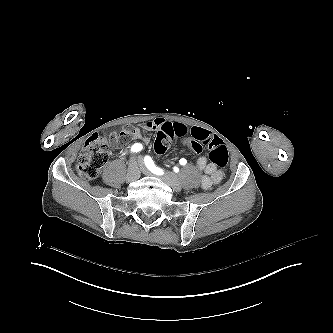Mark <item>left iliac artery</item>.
<instances>
[{"instance_id": "left-iliac-artery-1", "label": "left iliac artery", "mask_w": 333, "mask_h": 333, "mask_svg": "<svg viewBox=\"0 0 333 333\" xmlns=\"http://www.w3.org/2000/svg\"><path fill=\"white\" fill-rule=\"evenodd\" d=\"M144 162H145L146 166L148 167V169L151 172H153L154 174L161 175L163 173L160 168L155 166V164L150 156H145ZM179 162L181 165H185L187 163L186 159H184V158L180 159Z\"/></svg>"}]
</instances>
